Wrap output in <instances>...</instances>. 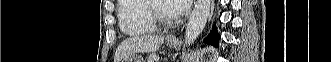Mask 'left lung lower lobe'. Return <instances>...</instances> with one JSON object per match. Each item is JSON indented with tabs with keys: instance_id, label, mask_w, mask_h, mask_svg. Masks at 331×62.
I'll return each mask as SVG.
<instances>
[{
	"instance_id": "obj_1",
	"label": "left lung lower lobe",
	"mask_w": 331,
	"mask_h": 62,
	"mask_svg": "<svg viewBox=\"0 0 331 62\" xmlns=\"http://www.w3.org/2000/svg\"><path fill=\"white\" fill-rule=\"evenodd\" d=\"M218 40H219V35L217 33V30L215 27L212 28V31L210 34L205 38L204 42L208 44H213L214 46L218 47Z\"/></svg>"
}]
</instances>
